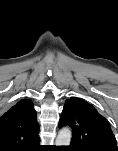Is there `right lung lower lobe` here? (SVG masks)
Here are the masks:
<instances>
[{"label": "right lung lower lobe", "instance_id": "right-lung-lower-lobe-1", "mask_svg": "<svg viewBox=\"0 0 118 151\" xmlns=\"http://www.w3.org/2000/svg\"><path fill=\"white\" fill-rule=\"evenodd\" d=\"M39 149V145H37V147L35 148V150H38Z\"/></svg>", "mask_w": 118, "mask_h": 151}]
</instances>
